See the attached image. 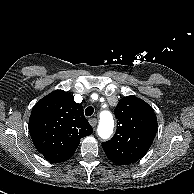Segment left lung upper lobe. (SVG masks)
Returning a JSON list of instances; mask_svg holds the SVG:
<instances>
[{"instance_id":"1","label":"left lung upper lobe","mask_w":194,"mask_h":194,"mask_svg":"<svg viewBox=\"0 0 194 194\" xmlns=\"http://www.w3.org/2000/svg\"><path fill=\"white\" fill-rule=\"evenodd\" d=\"M117 130L102 143L107 157L120 165L131 164L147 153L157 133V118L148 103L126 96L116 106Z\"/></svg>"}]
</instances>
